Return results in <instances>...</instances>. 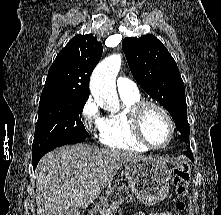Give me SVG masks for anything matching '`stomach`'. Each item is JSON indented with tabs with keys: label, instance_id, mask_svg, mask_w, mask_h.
<instances>
[{
	"label": "stomach",
	"instance_id": "1",
	"mask_svg": "<svg viewBox=\"0 0 221 215\" xmlns=\"http://www.w3.org/2000/svg\"><path fill=\"white\" fill-rule=\"evenodd\" d=\"M124 176L136 198L146 205H155L169 194L171 171L157 157L134 160L124 166Z\"/></svg>",
	"mask_w": 221,
	"mask_h": 215
}]
</instances>
